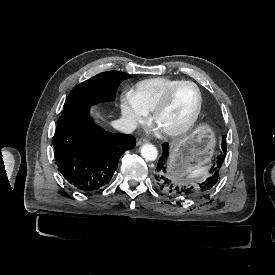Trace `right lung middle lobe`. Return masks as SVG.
<instances>
[{"instance_id":"right-lung-middle-lobe-1","label":"right lung middle lobe","mask_w":275,"mask_h":275,"mask_svg":"<svg viewBox=\"0 0 275 275\" xmlns=\"http://www.w3.org/2000/svg\"><path fill=\"white\" fill-rule=\"evenodd\" d=\"M129 74L119 71H108L77 85L68 95L63 109L73 107H90L102 101L113 100L116 88Z\"/></svg>"}]
</instances>
